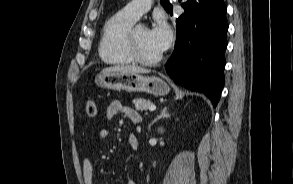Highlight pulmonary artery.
<instances>
[{
  "mask_svg": "<svg viewBox=\"0 0 293 184\" xmlns=\"http://www.w3.org/2000/svg\"><path fill=\"white\" fill-rule=\"evenodd\" d=\"M151 2L152 0H132L122 11L137 20L150 9Z\"/></svg>",
  "mask_w": 293,
  "mask_h": 184,
  "instance_id": "obj_1",
  "label": "pulmonary artery"
}]
</instances>
